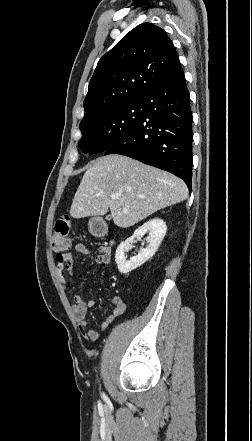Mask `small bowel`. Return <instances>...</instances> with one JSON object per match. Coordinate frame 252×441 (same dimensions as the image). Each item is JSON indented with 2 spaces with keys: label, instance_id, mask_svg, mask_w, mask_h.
Here are the masks:
<instances>
[{
  "label": "small bowel",
  "instance_id": "obj_1",
  "mask_svg": "<svg viewBox=\"0 0 252 441\" xmlns=\"http://www.w3.org/2000/svg\"><path fill=\"white\" fill-rule=\"evenodd\" d=\"M77 253L83 255H91V251L82 243H77L74 246ZM74 260L73 254H67L64 260H59L57 264V272L60 275V282L63 289L67 287V283L64 276L65 267L71 271L72 263ZM111 261V252L109 248H100V254L95 256V262L98 265H105ZM73 301V312L78 323L80 332L84 337L90 340H97L100 337V332L90 327L87 323L86 315L87 310L95 306V300H86L81 295L75 294L72 298ZM111 302L114 305L113 312L105 317L103 321L100 322V330L104 331L108 326L119 316L123 315L126 311V303L120 296H112Z\"/></svg>",
  "mask_w": 252,
  "mask_h": 441
}]
</instances>
